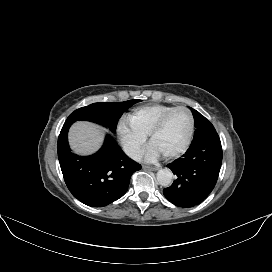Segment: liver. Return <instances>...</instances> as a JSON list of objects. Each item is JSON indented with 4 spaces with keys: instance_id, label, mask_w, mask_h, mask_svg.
<instances>
[{
    "instance_id": "liver-1",
    "label": "liver",
    "mask_w": 272,
    "mask_h": 272,
    "mask_svg": "<svg viewBox=\"0 0 272 272\" xmlns=\"http://www.w3.org/2000/svg\"><path fill=\"white\" fill-rule=\"evenodd\" d=\"M104 131V128L90 122H76L69 131L70 145L76 153L92 154L102 145Z\"/></svg>"
}]
</instances>
